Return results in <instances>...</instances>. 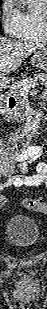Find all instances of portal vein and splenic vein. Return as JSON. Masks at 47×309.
I'll list each match as a JSON object with an SVG mask.
<instances>
[{"instance_id":"1","label":"portal vein and splenic vein","mask_w":47,"mask_h":309,"mask_svg":"<svg viewBox=\"0 0 47 309\" xmlns=\"http://www.w3.org/2000/svg\"><path fill=\"white\" fill-rule=\"evenodd\" d=\"M38 83L37 82H31L30 84H24V88H30V87H34V86H37Z\"/></svg>"}]
</instances>
